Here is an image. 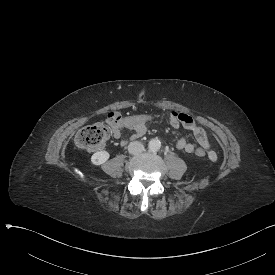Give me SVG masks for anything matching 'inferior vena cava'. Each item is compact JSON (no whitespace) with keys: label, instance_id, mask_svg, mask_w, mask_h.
Returning <instances> with one entry per match:
<instances>
[{"label":"inferior vena cava","instance_id":"602c4592","mask_svg":"<svg viewBox=\"0 0 275 275\" xmlns=\"http://www.w3.org/2000/svg\"><path fill=\"white\" fill-rule=\"evenodd\" d=\"M128 151L130 154L139 155L144 151V145L140 141L130 142L128 145Z\"/></svg>","mask_w":275,"mask_h":275}]
</instances>
